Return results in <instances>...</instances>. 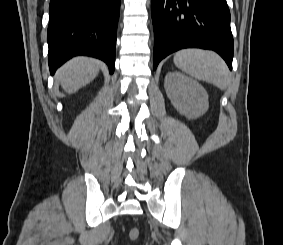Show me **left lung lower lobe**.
<instances>
[{
    "mask_svg": "<svg viewBox=\"0 0 283 245\" xmlns=\"http://www.w3.org/2000/svg\"><path fill=\"white\" fill-rule=\"evenodd\" d=\"M154 27L153 68L182 48L214 50L230 70L233 37L226 0H151Z\"/></svg>",
    "mask_w": 283,
    "mask_h": 245,
    "instance_id": "0a47b994",
    "label": "left lung lower lobe"
}]
</instances>
